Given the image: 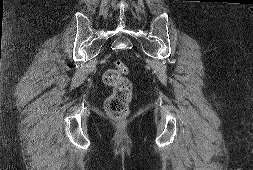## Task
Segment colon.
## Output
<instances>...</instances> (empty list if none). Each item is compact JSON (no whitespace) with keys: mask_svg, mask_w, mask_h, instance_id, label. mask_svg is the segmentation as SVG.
I'll use <instances>...</instances> for the list:
<instances>
[{"mask_svg":"<svg viewBox=\"0 0 253 170\" xmlns=\"http://www.w3.org/2000/svg\"><path fill=\"white\" fill-rule=\"evenodd\" d=\"M128 67L120 60L114 62V67L105 72L103 80L114 89L107 99L105 109L108 116L116 121L124 120L132 97V85L126 79Z\"/></svg>","mask_w":253,"mask_h":170,"instance_id":"1","label":"colon"}]
</instances>
